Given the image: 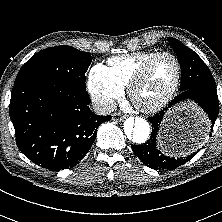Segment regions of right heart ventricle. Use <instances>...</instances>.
Segmentation results:
<instances>
[{"label":"right heart ventricle","instance_id":"1","mask_svg":"<svg viewBox=\"0 0 222 222\" xmlns=\"http://www.w3.org/2000/svg\"><path fill=\"white\" fill-rule=\"evenodd\" d=\"M157 53V51H147L113 57L108 60L107 69L112 79L122 88H126L137 70Z\"/></svg>","mask_w":222,"mask_h":222}]
</instances>
